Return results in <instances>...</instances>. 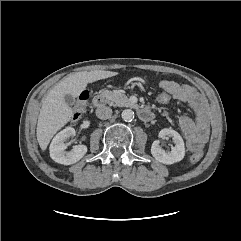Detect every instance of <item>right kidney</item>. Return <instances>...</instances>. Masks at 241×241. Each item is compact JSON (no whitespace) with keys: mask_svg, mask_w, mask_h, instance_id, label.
I'll use <instances>...</instances> for the list:
<instances>
[{"mask_svg":"<svg viewBox=\"0 0 241 241\" xmlns=\"http://www.w3.org/2000/svg\"><path fill=\"white\" fill-rule=\"evenodd\" d=\"M75 135V129L67 127L60 131L52 140L50 144V157L57 163L64 165H71L78 162L86 153L87 147L85 145L73 146L71 151L67 152V138Z\"/></svg>","mask_w":241,"mask_h":241,"instance_id":"obj_1","label":"right kidney"}]
</instances>
